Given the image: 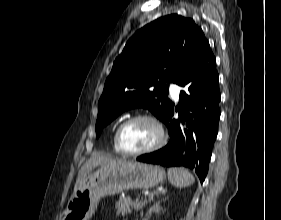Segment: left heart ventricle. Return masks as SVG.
I'll return each mask as SVG.
<instances>
[{
    "mask_svg": "<svg viewBox=\"0 0 281 220\" xmlns=\"http://www.w3.org/2000/svg\"><path fill=\"white\" fill-rule=\"evenodd\" d=\"M159 138L154 123L138 120L128 124L122 131V146L129 151H138L152 146Z\"/></svg>",
    "mask_w": 281,
    "mask_h": 220,
    "instance_id": "b2bd125f",
    "label": "left heart ventricle"
}]
</instances>
